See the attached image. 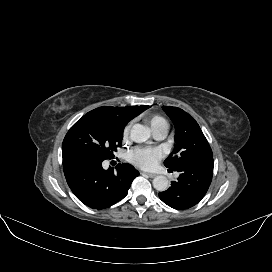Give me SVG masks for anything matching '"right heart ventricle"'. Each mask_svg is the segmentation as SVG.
Segmentation results:
<instances>
[{
    "mask_svg": "<svg viewBox=\"0 0 272 272\" xmlns=\"http://www.w3.org/2000/svg\"><path fill=\"white\" fill-rule=\"evenodd\" d=\"M146 121L150 125L153 132L163 129L168 130L169 125L167 120L160 115H150L146 117Z\"/></svg>",
    "mask_w": 272,
    "mask_h": 272,
    "instance_id": "obj_1",
    "label": "right heart ventricle"
}]
</instances>
